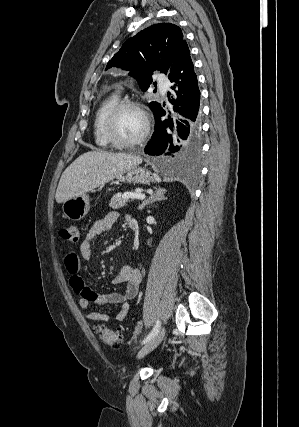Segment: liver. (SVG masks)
I'll use <instances>...</instances> for the list:
<instances>
[{
  "label": "liver",
  "instance_id": "1",
  "mask_svg": "<svg viewBox=\"0 0 299 427\" xmlns=\"http://www.w3.org/2000/svg\"><path fill=\"white\" fill-rule=\"evenodd\" d=\"M142 163L140 156L88 151L80 155L63 172L55 199L63 203L113 180Z\"/></svg>",
  "mask_w": 299,
  "mask_h": 427
}]
</instances>
